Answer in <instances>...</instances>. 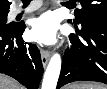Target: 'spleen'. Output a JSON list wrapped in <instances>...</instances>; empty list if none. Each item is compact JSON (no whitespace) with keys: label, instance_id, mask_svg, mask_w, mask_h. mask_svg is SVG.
Here are the masks:
<instances>
[{"label":"spleen","instance_id":"3e777b00","mask_svg":"<svg viewBox=\"0 0 107 89\" xmlns=\"http://www.w3.org/2000/svg\"><path fill=\"white\" fill-rule=\"evenodd\" d=\"M69 89H106V86L83 83V84H72L69 86Z\"/></svg>","mask_w":107,"mask_h":89}]
</instances>
